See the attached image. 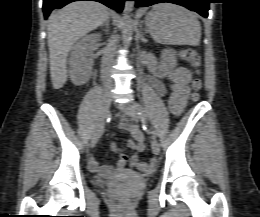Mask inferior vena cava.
<instances>
[{"label":"inferior vena cava","mask_w":260,"mask_h":217,"mask_svg":"<svg viewBox=\"0 0 260 217\" xmlns=\"http://www.w3.org/2000/svg\"><path fill=\"white\" fill-rule=\"evenodd\" d=\"M114 56H115V41L111 40L104 51V55L102 57V64H101L102 79L105 85H110L112 83V80L110 78V69L111 66L113 65Z\"/></svg>","instance_id":"obj_1"}]
</instances>
